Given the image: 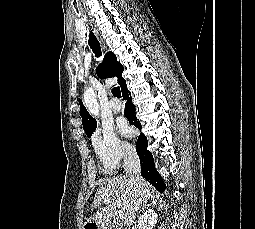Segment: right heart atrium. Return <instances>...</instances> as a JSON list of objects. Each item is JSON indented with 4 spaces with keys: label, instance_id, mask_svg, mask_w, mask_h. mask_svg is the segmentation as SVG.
Masks as SVG:
<instances>
[{
    "label": "right heart atrium",
    "instance_id": "1",
    "mask_svg": "<svg viewBox=\"0 0 255 229\" xmlns=\"http://www.w3.org/2000/svg\"><path fill=\"white\" fill-rule=\"evenodd\" d=\"M92 145L103 169L119 166L123 158L132 155L133 147L116 136L110 127L103 126L92 137Z\"/></svg>",
    "mask_w": 255,
    "mask_h": 229
}]
</instances>
